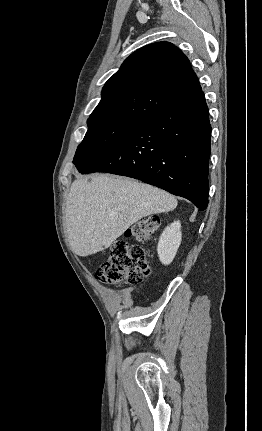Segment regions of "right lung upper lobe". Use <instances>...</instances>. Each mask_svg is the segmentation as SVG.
Returning a JSON list of instances; mask_svg holds the SVG:
<instances>
[{
    "instance_id": "1",
    "label": "right lung upper lobe",
    "mask_w": 262,
    "mask_h": 431,
    "mask_svg": "<svg viewBox=\"0 0 262 431\" xmlns=\"http://www.w3.org/2000/svg\"><path fill=\"white\" fill-rule=\"evenodd\" d=\"M201 91L188 58L177 47L149 44L132 53L106 82L87 123H138Z\"/></svg>"
}]
</instances>
